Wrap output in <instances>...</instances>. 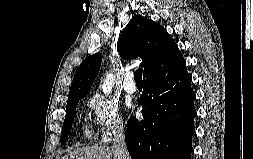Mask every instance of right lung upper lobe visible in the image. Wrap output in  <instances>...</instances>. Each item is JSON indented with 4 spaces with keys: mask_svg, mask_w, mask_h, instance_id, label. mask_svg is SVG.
<instances>
[{
    "mask_svg": "<svg viewBox=\"0 0 253 159\" xmlns=\"http://www.w3.org/2000/svg\"><path fill=\"white\" fill-rule=\"evenodd\" d=\"M117 48L123 59L142 58L145 79L173 72L185 60L171 36L159 23L134 15L121 32ZM102 61L100 53L81 63L76 70L68 101L84 97L97 76Z\"/></svg>",
    "mask_w": 253,
    "mask_h": 159,
    "instance_id": "cb5924a9",
    "label": "right lung upper lobe"
}]
</instances>
